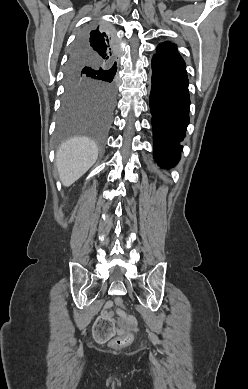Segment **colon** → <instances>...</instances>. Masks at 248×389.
<instances>
[{"label":"colon","instance_id":"5ec220e1","mask_svg":"<svg viewBox=\"0 0 248 389\" xmlns=\"http://www.w3.org/2000/svg\"><path fill=\"white\" fill-rule=\"evenodd\" d=\"M116 306L121 313L124 312L125 302L123 298L116 299ZM95 334L99 337L100 344H109L110 339L107 337L116 328L115 321L111 317H102L94 324ZM132 335L128 332L122 333L119 337L114 338L110 342V347L113 349H120L130 343Z\"/></svg>","mask_w":248,"mask_h":389}]
</instances>
